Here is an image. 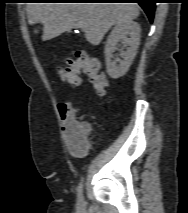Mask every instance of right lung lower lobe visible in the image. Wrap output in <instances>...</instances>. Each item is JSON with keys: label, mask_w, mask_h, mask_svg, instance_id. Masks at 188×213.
<instances>
[{"label": "right lung lower lobe", "mask_w": 188, "mask_h": 213, "mask_svg": "<svg viewBox=\"0 0 188 213\" xmlns=\"http://www.w3.org/2000/svg\"><path fill=\"white\" fill-rule=\"evenodd\" d=\"M85 1H96V2H134L138 3L145 13L147 14L149 20L152 22L155 11L156 0H85Z\"/></svg>", "instance_id": "1"}]
</instances>
